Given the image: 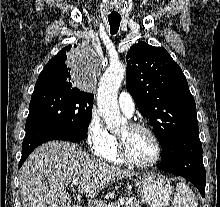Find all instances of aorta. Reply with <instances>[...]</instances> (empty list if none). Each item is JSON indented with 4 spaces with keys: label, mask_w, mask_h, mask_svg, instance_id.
<instances>
[{
    "label": "aorta",
    "mask_w": 220,
    "mask_h": 207,
    "mask_svg": "<svg viewBox=\"0 0 220 207\" xmlns=\"http://www.w3.org/2000/svg\"><path fill=\"white\" fill-rule=\"evenodd\" d=\"M125 73L126 68L122 63L110 64L99 82L97 91L98 111L110 131H116L126 123V119L120 114L117 102L118 89Z\"/></svg>",
    "instance_id": "762f6f07"
}]
</instances>
